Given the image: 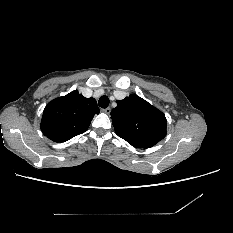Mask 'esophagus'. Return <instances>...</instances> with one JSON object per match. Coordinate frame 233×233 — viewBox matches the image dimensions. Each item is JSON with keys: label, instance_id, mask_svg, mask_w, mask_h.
I'll return each mask as SVG.
<instances>
[{"label": "esophagus", "instance_id": "obj_1", "mask_svg": "<svg viewBox=\"0 0 233 233\" xmlns=\"http://www.w3.org/2000/svg\"><path fill=\"white\" fill-rule=\"evenodd\" d=\"M102 112L106 113V114H110L111 112V108H105V109H102Z\"/></svg>", "mask_w": 233, "mask_h": 233}]
</instances>
